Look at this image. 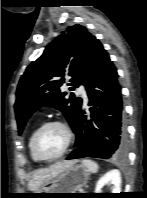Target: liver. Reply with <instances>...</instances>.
<instances>
[{
    "instance_id": "liver-1",
    "label": "liver",
    "mask_w": 147,
    "mask_h": 198,
    "mask_svg": "<svg viewBox=\"0 0 147 198\" xmlns=\"http://www.w3.org/2000/svg\"><path fill=\"white\" fill-rule=\"evenodd\" d=\"M75 163V161H60L48 168L36 170L28 182V189L30 191H36L47 181L57 176L63 170L74 165Z\"/></svg>"
}]
</instances>
